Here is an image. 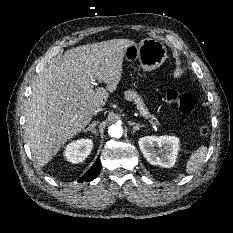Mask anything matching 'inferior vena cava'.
I'll list each match as a JSON object with an SVG mask.
<instances>
[{"instance_id": "obj_1", "label": "inferior vena cava", "mask_w": 233, "mask_h": 233, "mask_svg": "<svg viewBox=\"0 0 233 233\" xmlns=\"http://www.w3.org/2000/svg\"><path fill=\"white\" fill-rule=\"evenodd\" d=\"M103 109L101 107H97L94 109V114H97L98 112L102 111Z\"/></svg>"}]
</instances>
